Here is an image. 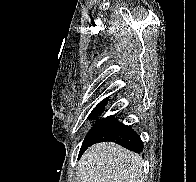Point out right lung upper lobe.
<instances>
[{"label": "right lung upper lobe", "instance_id": "obj_1", "mask_svg": "<svg viewBox=\"0 0 196 182\" xmlns=\"http://www.w3.org/2000/svg\"><path fill=\"white\" fill-rule=\"evenodd\" d=\"M107 103V98H105L103 101H101L98 105H105Z\"/></svg>", "mask_w": 196, "mask_h": 182}]
</instances>
